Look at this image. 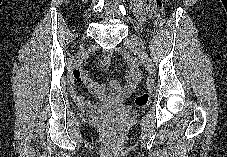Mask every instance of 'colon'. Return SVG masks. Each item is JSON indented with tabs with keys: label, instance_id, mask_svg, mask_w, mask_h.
I'll return each mask as SVG.
<instances>
[{
	"label": "colon",
	"instance_id": "obj_1",
	"mask_svg": "<svg viewBox=\"0 0 227 157\" xmlns=\"http://www.w3.org/2000/svg\"><path fill=\"white\" fill-rule=\"evenodd\" d=\"M147 12L151 19L155 21L158 26L164 23V6L162 0H149ZM150 103L149 94H141L135 98V104L138 107H146Z\"/></svg>",
	"mask_w": 227,
	"mask_h": 157
}]
</instances>
